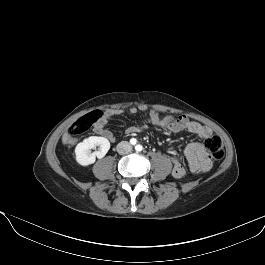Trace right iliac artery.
I'll return each instance as SVG.
<instances>
[{"mask_svg": "<svg viewBox=\"0 0 265 265\" xmlns=\"http://www.w3.org/2000/svg\"><path fill=\"white\" fill-rule=\"evenodd\" d=\"M136 142H137V140H136L135 138H132V139L130 140V143L133 144V145L136 144Z\"/></svg>", "mask_w": 265, "mask_h": 265, "instance_id": "1", "label": "right iliac artery"}]
</instances>
